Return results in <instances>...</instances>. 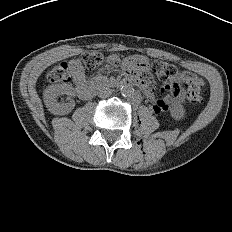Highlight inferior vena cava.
<instances>
[{
  "instance_id": "602c4592",
  "label": "inferior vena cava",
  "mask_w": 232,
  "mask_h": 232,
  "mask_svg": "<svg viewBox=\"0 0 232 232\" xmlns=\"http://www.w3.org/2000/svg\"><path fill=\"white\" fill-rule=\"evenodd\" d=\"M97 94L100 98H107L112 94V90L108 87L101 86L98 88Z\"/></svg>"
}]
</instances>
